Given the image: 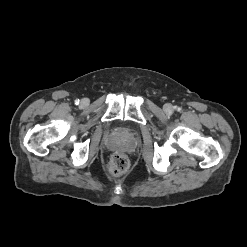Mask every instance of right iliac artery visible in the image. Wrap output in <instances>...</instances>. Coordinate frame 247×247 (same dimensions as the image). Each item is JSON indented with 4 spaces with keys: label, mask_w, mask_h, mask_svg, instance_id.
I'll list each match as a JSON object with an SVG mask.
<instances>
[{
    "label": "right iliac artery",
    "mask_w": 247,
    "mask_h": 247,
    "mask_svg": "<svg viewBox=\"0 0 247 247\" xmlns=\"http://www.w3.org/2000/svg\"><path fill=\"white\" fill-rule=\"evenodd\" d=\"M80 103V100L79 99H76L75 100V104L78 105Z\"/></svg>",
    "instance_id": "right-iliac-artery-1"
}]
</instances>
